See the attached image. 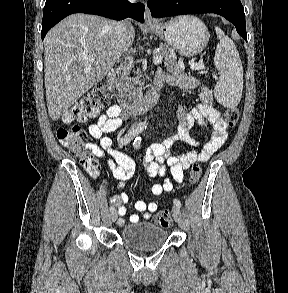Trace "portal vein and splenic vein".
<instances>
[{
	"label": "portal vein and splenic vein",
	"mask_w": 288,
	"mask_h": 293,
	"mask_svg": "<svg viewBox=\"0 0 288 293\" xmlns=\"http://www.w3.org/2000/svg\"><path fill=\"white\" fill-rule=\"evenodd\" d=\"M82 58L85 59V60H88V61L89 60H94L93 56H88V55H83ZM127 59L131 60L132 58L127 57ZM162 60H163L162 56L155 55L154 59H153V62H154L155 65H158V64H160L162 62ZM191 69L192 70H202V69H205V66L203 64H197L196 63V64L191 65Z\"/></svg>",
	"instance_id": "18ae733b"
}]
</instances>
